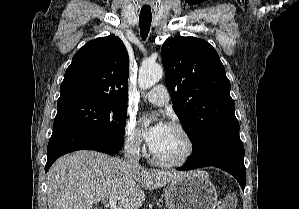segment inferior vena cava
I'll list each match as a JSON object with an SVG mask.
<instances>
[{
    "mask_svg": "<svg viewBox=\"0 0 299 209\" xmlns=\"http://www.w3.org/2000/svg\"><path fill=\"white\" fill-rule=\"evenodd\" d=\"M140 149L136 140L130 139L124 146V160L132 166L139 167Z\"/></svg>",
    "mask_w": 299,
    "mask_h": 209,
    "instance_id": "1",
    "label": "inferior vena cava"
}]
</instances>
